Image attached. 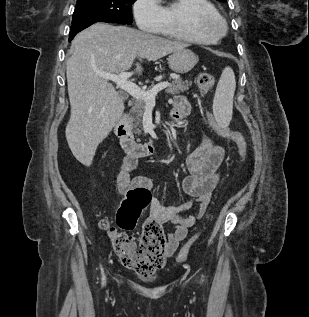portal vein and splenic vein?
<instances>
[{"label":"portal vein and splenic vein","instance_id":"1","mask_svg":"<svg viewBox=\"0 0 309 317\" xmlns=\"http://www.w3.org/2000/svg\"><path fill=\"white\" fill-rule=\"evenodd\" d=\"M99 76L104 79L113 81L117 87L129 93L136 99L143 100L147 105H155V96L163 89L169 87V83L162 82L155 85L151 90H142L138 85L129 81V77L132 76V72H122L119 74H111L106 72L97 71Z\"/></svg>","mask_w":309,"mask_h":317}]
</instances>
